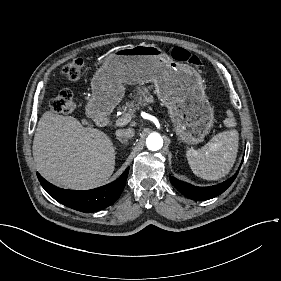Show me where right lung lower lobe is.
I'll use <instances>...</instances> for the list:
<instances>
[{"label":"right lung lower lobe","mask_w":281,"mask_h":281,"mask_svg":"<svg viewBox=\"0 0 281 281\" xmlns=\"http://www.w3.org/2000/svg\"><path fill=\"white\" fill-rule=\"evenodd\" d=\"M128 171L129 168L110 184L84 191L62 189L46 181L39 173L37 176L42 187L56 201L78 211L95 212L110 206L117 200L125 187Z\"/></svg>","instance_id":"1"}]
</instances>
